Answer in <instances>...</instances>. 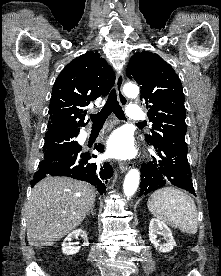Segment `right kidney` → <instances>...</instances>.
Listing matches in <instances>:
<instances>
[{
    "label": "right kidney",
    "mask_w": 221,
    "mask_h": 276,
    "mask_svg": "<svg viewBox=\"0 0 221 276\" xmlns=\"http://www.w3.org/2000/svg\"><path fill=\"white\" fill-rule=\"evenodd\" d=\"M78 236H81L84 238L85 243L84 245H88V238L87 233L85 230L77 229L75 231H72L63 241L62 243V252L66 255H73L78 253L80 246H74L71 242L73 238H78Z\"/></svg>",
    "instance_id": "1"
}]
</instances>
